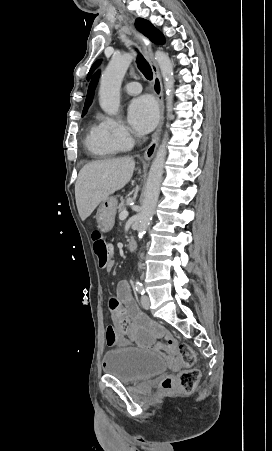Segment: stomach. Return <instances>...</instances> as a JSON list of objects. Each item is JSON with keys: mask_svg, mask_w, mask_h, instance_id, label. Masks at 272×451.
Returning <instances> with one entry per match:
<instances>
[{"mask_svg": "<svg viewBox=\"0 0 272 451\" xmlns=\"http://www.w3.org/2000/svg\"><path fill=\"white\" fill-rule=\"evenodd\" d=\"M117 204L118 202L113 196H109L100 204L95 216L100 231H110L114 226Z\"/></svg>", "mask_w": 272, "mask_h": 451, "instance_id": "1", "label": "stomach"}]
</instances>
